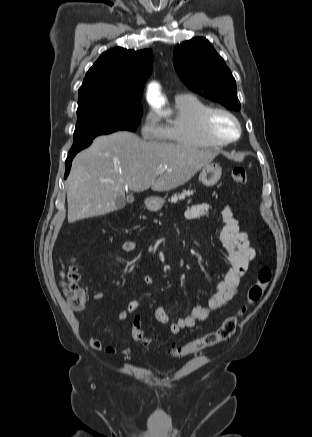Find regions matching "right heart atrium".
<instances>
[{
  "instance_id": "right-heart-atrium-1",
  "label": "right heart atrium",
  "mask_w": 312,
  "mask_h": 437,
  "mask_svg": "<svg viewBox=\"0 0 312 437\" xmlns=\"http://www.w3.org/2000/svg\"><path fill=\"white\" fill-rule=\"evenodd\" d=\"M140 132L146 140L159 141L164 138L163 126L154 112L146 113L141 123Z\"/></svg>"
}]
</instances>
